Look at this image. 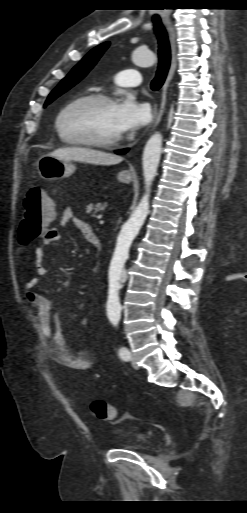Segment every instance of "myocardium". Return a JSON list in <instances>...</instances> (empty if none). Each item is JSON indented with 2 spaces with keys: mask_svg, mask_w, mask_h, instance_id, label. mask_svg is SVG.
<instances>
[{
  "mask_svg": "<svg viewBox=\"0 0 247 513\" xmlns=\"http://www.w3.org/2000/svg\"><path fill=\"white\" fill-rule=\"evenodd\" d=\"M88 101H96L103 103H115L114 98L102 93H90L79 96L72 101L65 104L60 111L58 112L55 119V128L59 136L66 141L67 143L74 145H83V146H92L98 148H110L119 144L122 140L121 136H118L109 140H93V139H84V138H70L67 137L61 129V121L66 114V112L75 104L80 102H88Z\"/></svg>",
  "mask_w": 247,
  "mask_h": 513,
  "instance_id": "1",
  "label": "myocardium"
}]
</instances>
